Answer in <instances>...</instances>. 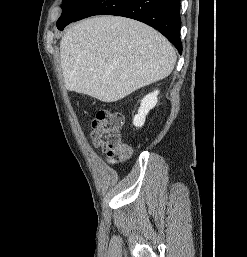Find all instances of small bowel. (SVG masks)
I'll return each instance as SVG.
<instances>
[{
	"label": "small bowel",
	"mask_w": 247,
	"mask_h": 257,
	"mask_svg": "<svg viewBox=\"0 0 247 257\" xmlns=\"http://www.w3.org/2000/svg\"><path fill=\"white\" fill-rule=\"evenodd\" d=\"M120 160H123L121 158H113V157H106V161L110 164H117Z\"/></svg>",
	"instance_id": "obj_1"
}]
</instances>
